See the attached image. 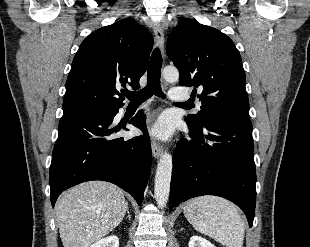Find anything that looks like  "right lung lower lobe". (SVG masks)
<instances>
[{"label":"right lung lower lobe","mask_w":310,"mask_h":247,"mask_svg":"<svg viewBox=\"0 0 310 247\" xmlns=\"http://www.w3.org/2000/svg\"><path fill=\"white\" fill-rule=\"evenodd\" d=\"M117 113L107 109L63 114L49 174L52 207L64 190L90 180L114 183L141 205L152 158L145 119L140 111L130 121L144 136L127 140L114 137L117 130L110 128Z\"/></svg>","instance_id":"obj_1"}]
</instances>
